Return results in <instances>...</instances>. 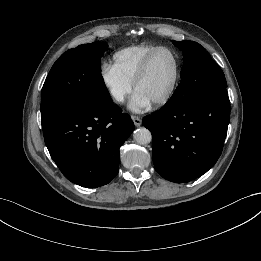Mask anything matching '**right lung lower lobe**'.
<instances>
[{"label": "right lung lower lobe", "mask_w": 261, "mask_h": 261, "mask_svg": "<svg viewBox=\"0 0 261 261\" xmlns=\"http://www.w3.org/2000/svg\"><path fill=\"white\" fill-rule=\"evenodd\" d=\"M133 121L111 101L72 112L43 128L45 144L64 176L87 188L109 183L118 173L119 148Z\"/></svg>", "instance_id": "right-lung-lower-lobe-1"}]
</instances>
